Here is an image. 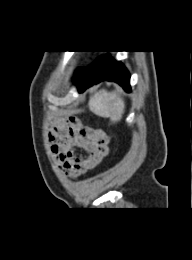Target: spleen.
<instances>
[{
  "label": "spleen",
  "mask_w": 192,
  "mask_h": 260,
  "mask_svg": "<svg viewBox=\"0 0 192 260\" xmlns=\"http://www.w3.org/2000/svg\"><path fill=\"white\" fill-rule=\"evenodd\" d=\"M89 109L99 117L110 118L113 123L122 119L125 103L119 93L102 89L89 100Z\"/></svg>",
  "instance_id": "1"
}]
</instances>
